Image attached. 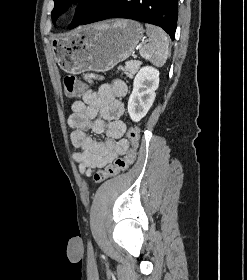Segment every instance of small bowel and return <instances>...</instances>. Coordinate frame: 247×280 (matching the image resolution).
<instances>
[{
	"label": "small bowel",
	"mask_w": 247,
	"mask_h": 280,
	"mask_svg": "<svg viewBox=\"0 0 247 280\" xmlns=\"http://www.w3.org/2000/svg\"><path fill=\"white\" fill-rule=\"evenodd\" d=\"M127 86L121 80L102 84L97 90L87 91L82 100L74 101L68 124L73 129L71 142L79 151L73 154L79 171L91 176L97 169L112 163L128 149L123 138L126 125L121 119L124 113L122 99ZM105 134V141H97L88 134Z\"/></svg>",
	"instance_id": "small-bowel-1"
}]
</instances>
